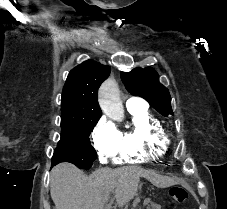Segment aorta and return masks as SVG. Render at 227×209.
Instances as JSON below:
<instances>
[{"label": "aorta", "instance_id": "762f6f07", "mask_svg": "<svg viewBox=\"0 0 227 209\" xmlns=\"http://www.w3.org/2000/svg\"><path fill=\"white\" fill-rule=\"evenodd\" d=\"M99 102L103 112L114 120L124 116V109L119 97V90L114 80L108 79L99 92Z\"/></svg>", "mask_w": 227, "mask_h": 209}]
</instances>
